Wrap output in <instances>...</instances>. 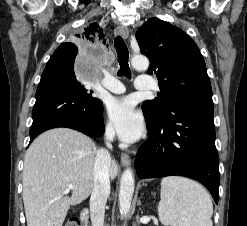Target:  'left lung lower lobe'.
Listing matches in <instances>:
<instances>
[{"label": "left lung lower lobe", "mask_w": 247, "mask_h": 226, "mask_svg": "<svg viewBox=\"0 0 247 226\" xmlns=\"http://www.w3.org/2000/svg\"><path fill=\"white\" fill-rule=\"evenodd\" d=\"M146 122L149 138L134 161L137 176L193 178L210 191L217 204L220 174L212 97L188 98L162 120Z\"/></svg>", "instance_id": "0a47b994"}]
</instances>
